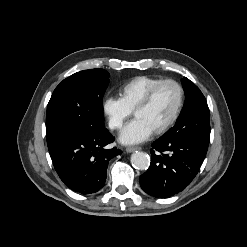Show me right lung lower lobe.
<instances>
[{
    "instance_id": "right-lung-lower-lobe-1",
    "label": "right lung lower lobe",
    "mask_w": 247,
    "mask_h": 247,
    "mask_svg": "<svg viewBox=\"0 0 247 247\" xmlns=\"http://www.w3.org/2000/svg\"><path fill=\"white\" fill-rule=\"evenodd\" d=\"M114 141L105 126L78 132L48 142L49 153L61 180L81 194L99 191L106 181L109 160L121 154L116 147L104 149Z\"/></svg>"
}]
</instances>
